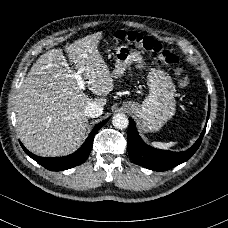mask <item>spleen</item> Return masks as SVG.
Returning a JSON list of instances; mask_svg holds the SVG:
<instances>
[{"label": "spleen", "mask_w": 228, "mask_h": 228, "mask_svg": "<svg viewBox=\"0 0 228 228\" xmlns=\"http://www.w3.org/2000/svg\"><path fill=\"white\" fill-rule=\"evenodd\" d=\"M172 142L165 143V142H155L154 145L162 147V148H168L172 145Z\"/></svg>", "instance_id": "spleen-1"}]
</instances>
